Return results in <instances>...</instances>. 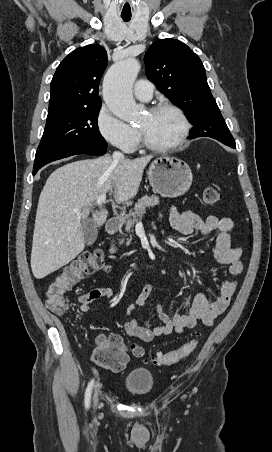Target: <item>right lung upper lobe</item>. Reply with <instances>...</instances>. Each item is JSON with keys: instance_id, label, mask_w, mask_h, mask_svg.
Listing matches in <instances>:
<instances>
[{"instance_id": "1", "label": "right lung upper lobe", "mask_w": 272, "mask_h": 452, "mask_svg": "<svg viewBox=\"0 0 272 452\" xmlns=\"http://www.w3.org/2000/svg\"><path fill=\"white\" fill-rule=\"evenodd\" d=\"M106 50L87 45L71 52L58 66L51 81L48 114L101 106V76L107 66Z\"/></svg>"}]
</instances>
